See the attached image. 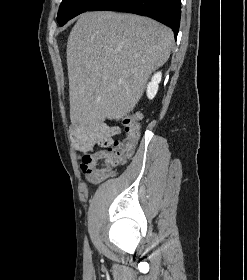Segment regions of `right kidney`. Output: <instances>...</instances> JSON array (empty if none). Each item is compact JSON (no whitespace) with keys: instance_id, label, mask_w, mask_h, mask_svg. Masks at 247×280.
Returning <instances> with one entry per match:
<instances>
[{"instance_id":"ca27d5eb","label":"right kidney","mask_w":247,"mask_h":280,"mask_svg":"<svg viewBox=\"0 0 247 280\" xmlns=\"http://www.w3.org/2000/svg\"><path fill=\"white\" fill-rule=\"evenodd\" d=\"M162 74L157 72L151 79V82L147 85V96L149 99H153L158 91V84L161 81Z\"/></svg>"}]
</instances>
